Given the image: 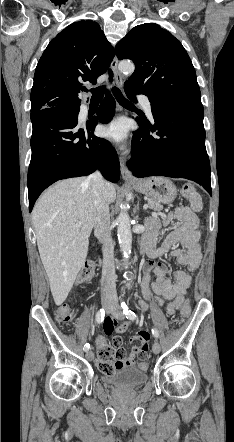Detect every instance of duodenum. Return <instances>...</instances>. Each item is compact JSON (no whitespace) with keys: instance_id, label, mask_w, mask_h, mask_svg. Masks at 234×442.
<instances>
[{"instance_id":"duodenum-1","label":"duodenum","mask_w":234,"mask_h":442,"mask_svg":"<svg viewBox=\"0 0 234 442\" xmlns=\"http://www.w3.org/2000/svg\"><path fill=\"white\" fill-rule=\"evenodd\" d=\"M150 242L146 237H143L140 242V252L147 253L149 250Z\"/></svg>"}]
</instances>
